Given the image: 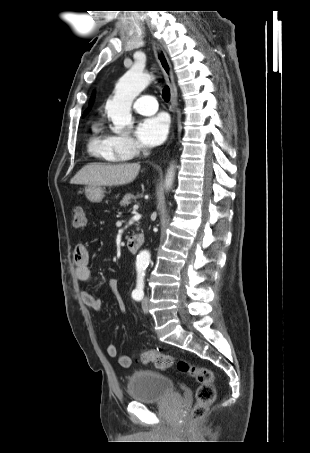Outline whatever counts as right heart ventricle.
Returning <instances> with one entry per match:
<instances>
[{
	"label": "right heart ventricle",
	"mask_w": 310,
	"mask_h": 453,
	"mask_svg": "<svg viewBox=\"0 0 310 453\" xmlns=\"http://www.w3.org/2000/svg\"><path fill=\"white\" fill-rule=\"evenodd\" d=\"M87 147L93 157L105 162L117 163L127 159L115 150L111 142V136L105 132L99 121L93 122L91 126Z\"/></svg>",
	"instance_id": "right-heart-ventricle-1"
}]
</instances>
